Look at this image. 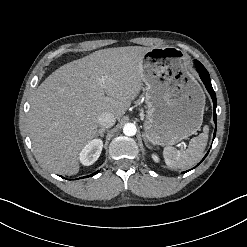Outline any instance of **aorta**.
Returning a JSON list of instances; mask_svg holds the SVG:
<instances>
[{"mask_svg": "<svg viewBox=\"0 0 247 247\" xmlns=\"http://www.w3.org/2000/svg\"><path fill=\"white\" fill-rule=\"evenodd\" d=\"M137 132L136 126L133 123H127L123 127V133L126 136H134Z\"/></svg>", "mask_w": 247, "mask_h": 247, "instance_id": "1", "label": "aorta"}]
</instances>
